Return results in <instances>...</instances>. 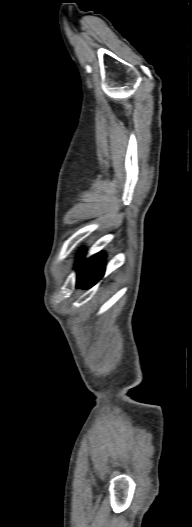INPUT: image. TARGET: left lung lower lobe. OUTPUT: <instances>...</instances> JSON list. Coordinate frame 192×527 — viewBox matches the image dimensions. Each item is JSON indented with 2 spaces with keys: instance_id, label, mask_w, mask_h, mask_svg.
Returning a JSON list of instances; mask_svg holds the SVG:
<instances>
[{
  "instance_id": "1",
  "label": "left lung lower lobe",
  "mask_w": 192,
  "mask_h": 527,
  "mask_svg": "<svg viewBox=\"0 0 192 527\" xmlns=\"http://www.w3.org/2000/svg\"><path fill=\"white\" fill-rule=\"evenodd\" d=\"M80 256H83V252ZM104 264L103 253H98L86 261L80 258L77 265V287L88 289L95 285L104 275Z\"/></svg>"
}]
</instances>
